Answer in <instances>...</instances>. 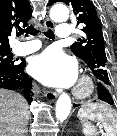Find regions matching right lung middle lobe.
<instances>
[{"mask_svg": "<svg viewBox=\"0 0 117 136\" xmlns=\"http://www.w3.org/2000/svg\"><path fill=\"white\" fill-rule=\"evenodd\" d=\"M13 65H16L13 54L10 51L0 52V66L11 67Z\"/></svg>", "mask_w": 117, "mask_h": 136, "instance_id": "obj_1", "label": "right lung middle lobe"}]
</instances>
